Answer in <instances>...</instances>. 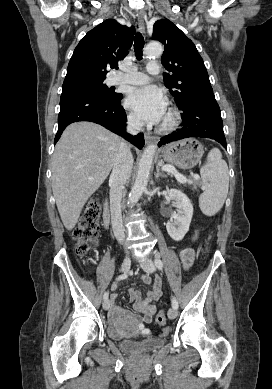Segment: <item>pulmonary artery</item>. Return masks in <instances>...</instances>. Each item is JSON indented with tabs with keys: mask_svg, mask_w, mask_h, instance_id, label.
Instances as JSON below:
<instances>
[{
	"mask_svg": "<svg viewBox=\"0 0 272 389\" xmlns=\"http://www.w3.org/2000/svg\"><path fill=\"white\" fill-rule=\"evenodd\" d=\"M147 72L151 75H156L160 72V64L156 61L149 62L147 65ZM149 81V76L139 71H129L125 73H118L112 78L113 84H131L142 85Z\"/></svg>",
	"mask_w": 272,
	"mask_h": 389,
	"instance_id": "e3ab8cb5",
	"label": "pulmonary artery"
}]
</instances>
